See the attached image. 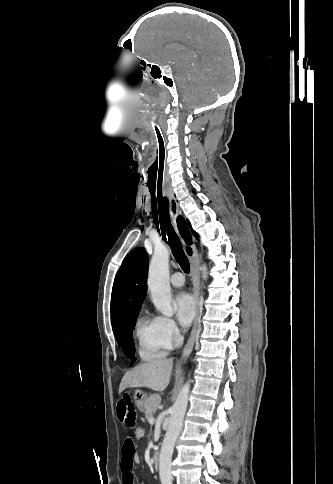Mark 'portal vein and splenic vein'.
Here are the masks:
<instances>
[{"label": "portal vein and splenic vein", "instance_id": "obj_1", "mask_svg": "<svg viewBox=\"0 0 333 484\" xmlns=\"http://www.w3.org/2000/svg\"><path fill=\"white\" fill-rule=\"evenodd\" d=\"M154 421H155V419H154L153 417H152V418H150V419L148 420V422H149L151 425H153Z\"/></svg>", "mask_w": 333, "mask_h": 484}]
</instances>
